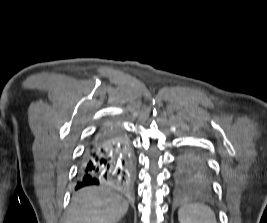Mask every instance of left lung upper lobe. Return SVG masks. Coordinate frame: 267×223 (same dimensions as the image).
Wrapping results in <instances>:
<instances>
[{
    "mask_svg": "<svg viewBox=\"0 0 267 223\" xmlns=\"http://www.w3.org/2000/svg\"><path fill=\"white\" fill-rule=\"evenodd\" d=\"M178 171H206L203 161L192 153L181 157Z\"/></svg>",
    "mask_w": 267,
    "mask_h": 223,
    "instance_id": "obj_1",
    "label": "left lung upper lobe"
}]
</instances>
